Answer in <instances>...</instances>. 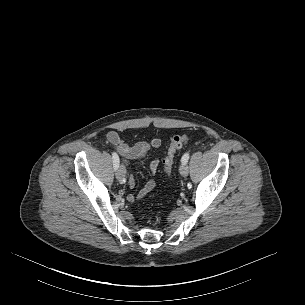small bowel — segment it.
Masks as SVG:
<instances>
[{
	"instance_id": "1",
	"label": "small bowel",
	"mask_w": 305,
	"mask_h": 305,
	"mask_svg": "<svg viewBox=\"0 0 305 305\" xmlns=\"http://www.w3.org/2000/svg\"><path fill=\"white\" fill-rule=\"evenodd\" d=\"M109 144L119 153V155L126 160H141L143 159L151 148H160L162 146V140L159 138H153L148 141H139L133 145H129L123 141L120 135L115 131H109L106 135ZM160 166V160L154 158L150 163L151 173H157ZM135 184L134 176L129 178V185L133 187ZM155 187L153 180L148 181L143 188L136 195H128L127 200L134 202L142 199Z\"/></svg>"
}]
</instances>
